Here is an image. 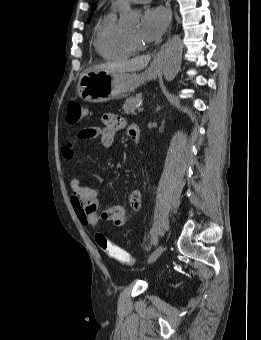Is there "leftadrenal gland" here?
Here are the masks:
<instances>
[{
	"label": "left adrenal gland",
	"mask_w": 261,
	"mask_h": 340,
	"mask_svg": "<svg viewBox=\"0 0 261 340\" xmlns=\"http://www.w3.org/2000/svg\"><path fill=\"white\" fill-rule=\"evenodd\" d=\"M159 109H160V106L158 105L157 110H159Z\"/></svg>",
	"instance_id": "1"
}]
</instances>
